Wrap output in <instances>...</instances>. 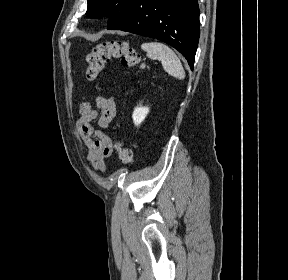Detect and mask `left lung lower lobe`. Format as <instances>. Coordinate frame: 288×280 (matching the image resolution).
I'll use <instances>...</instances> for the list:
<instances>
[{
	"instance_id": "0a47b994",
	"label": "left lung lower lobe",
	"mask_w": 288,
	"mask_h": 280,
	"mask_svg": "<svg viewBox=\"0 0 288 280\" xmlns=\"http://www.w3.org/2000/svg\"><path fill=\"white\" fill-rule=\"evenodd\" d=\"M107 29L161 40L177 49L194 68L200 35L197 0H135Z\"/></svg>"
}]
</instances>
